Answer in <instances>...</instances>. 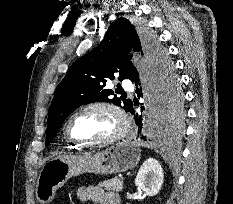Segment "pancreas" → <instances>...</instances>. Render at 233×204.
<instances>
[{
	"mask_svg": "<svg viewBox=\"0 0 233 204\" xmlns=\"http://www.w3.org/2000/svg\"><path fill=\"white\" fill-rule=\"evenodd\" d=\"M98 186L104 188L106 191L121 192L123 181L122 179L113 178L99 183Z\"/></svg>",
	"mask_w": 233,
	"mask_h": 204,
	"instance_id": "1",
	"label": "pancreas"
}]
</instances>
